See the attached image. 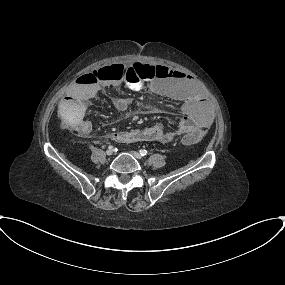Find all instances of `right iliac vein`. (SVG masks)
I'll return each mask as SVG.
<instances>
[{"label":"right iliac vein","mask_w":285,"mask_h":285,"mask_svg":"<svg viewBox=\"0 0 285 285\" xmlns=\"http://www.w3.org/2000/svg\"><path fill=\"white\" fill-rule=\"evenodd\" d=\"M106 154H107V155H112V154H113V150L108 149V150L106 151Z\"/></svg>","instance_id":"1"}]
</instances>
